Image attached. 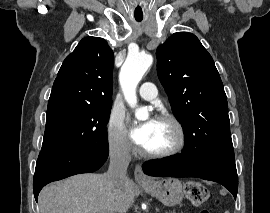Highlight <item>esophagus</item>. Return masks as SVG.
<instances>
[{"label":"esophagus","instance_id":"34e87169","mask_svg":"<svg viewBox=\"0 0 270 213\" xmlns=\"http://www.w3.org/2000/svg\"><path fill=\"white\" fill-rule=\"evenodd\" d=\"M134 177L137 182H150V178L143 172L139 164L135 166Z\"/></svg>","mask_w":270,"mask_h":213}]
</instances>
